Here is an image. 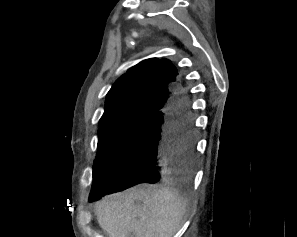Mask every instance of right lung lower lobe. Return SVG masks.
I'll list each match as a JSON object with an SVG mask.
<instances>
[{"mask_svg": "<svg viewBox=\"0 0 297 237\" xmlns=\"http://www.w3.org/2000/svg\"><path fill=\"white\" fill-rule=\"evenodd\" d=\"M194 138L188 91L180 88L165 109L150 117L119 169L116 183L89 196V201L140 183L155 184L188 175L195 158Z\"/></svg>", "mask_w": 297, "mask_h": 237, "instance_id": "98d812e1", "label": "right lung lower lobe"}]
</instances>
